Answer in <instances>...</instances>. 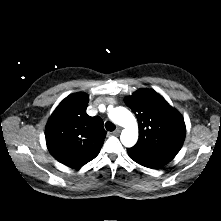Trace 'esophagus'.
I'll return each instance as SVG.
<instances>
[{"mask_svg":"<svg viewBox=\"0 0 221 221\" xmlns=\"http://www.w3.org/2000/svg\"><path fill=\"white\" fill-rule=\"evenodd\" d=\"M122 128L121 127H117L114 131L115 134H119L121 132Z\"/></svg>","mask_w":221,"mask_h":221,"instance_id":"1","label":"esophagus"}]
</instances>
